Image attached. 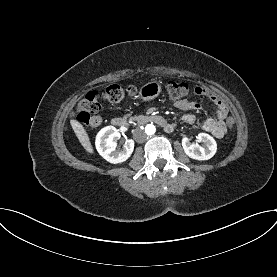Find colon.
I'll return each mask as SVG.
<instances>
[{
    "label": "colon",
    "mask_w": 277,
    "mask_h": 277,
    "mask_svg": "<svg viewBox=\"0 0 277 277\" xmlns=\"http://www.w3.org/2000/svg\"><path fill=\"white\" fill-rule=\"evenodd\" d=\"M166 89L169 97L174 102L187 100V97L190 94L188 83L177 79L168 80L166 83ZM134 93L135 88L133 86L123 87L117 84H112L104 90H92L88 92L78 104L76 119L85 127H97L102 123L101 101L117 104L125 97L132 96ZM235 123L236 120L232 116H227L224 119L225 127L229 131L234 130Z\"/></svg>",
    "instance_id": "1"
}]
</instances>
